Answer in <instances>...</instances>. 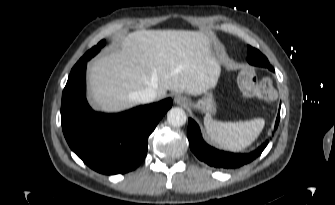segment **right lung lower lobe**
I'll return each instance as SVG.
<instances>
[{"label": "right lung lower lobe", "mask_w": 335, "mask_h": 205, "mask_svg": "<svg viewBox=\"0 0 335 205\" xmlns=\"http://www.w3.org/2000/svg\"><path fill=\"white\" fill-rule=\"evenodd\" d=\"M86 62L71 70L63 90L61 124L70 148L102 174L134 170L147 154L148 137L172 106V99L119 114L97 113L85 97Z\"/></svg>", "instance_id": "right-lung-lower-lobe-1"}]
</instances>
